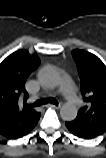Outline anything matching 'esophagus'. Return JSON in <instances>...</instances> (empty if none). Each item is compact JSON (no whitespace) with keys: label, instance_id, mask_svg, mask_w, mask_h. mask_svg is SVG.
<instances>
[{"label":"esophagus","instance_id":"34e87169","mask_svg":"<svg viewBox=\"0 0 106 158\" xmlns=\"http://www.w3.org/2000/svg\"><path fill=\"white\" fill-rule=\"evenodd\" d=\"M63 105V102H59L58 104H51L49 103L47 106L53 107V108H61V106Z\"/></svg>","mask_w":106,"mask_h":158}]
</instances>
